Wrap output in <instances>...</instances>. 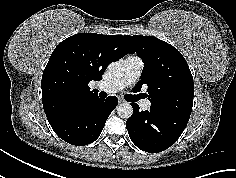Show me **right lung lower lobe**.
I'll use <instances>...</instances> for the list:
<instances>
[{
  "instance_id": "98d812e1",
  "label": "right lung lower lobe",
  "mask_w": 236,
  "mask_h": 178,
  "mask_svg": "<svg viewBox=\"0 0 236 178\" xmlns=\"http://www.w3.org/2000/svg\"><path fill=\"white\" fill-rule=\"evenodd\" d=\"M117 104L118 100L114 96L106 100L96 98L84 107L59 114L48 121L61 139L72 145L83 146L99 137Z\"/></svg>"
}]
</instances>
